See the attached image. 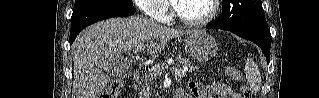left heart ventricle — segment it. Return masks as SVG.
Returning <instances> with one entry per match:
<instances>
[{
    "label": "left heart ventricle",
    "mask_w": 319,
    "mask_h": 98,
    "mask_svg": "<svg viewBox=\"0 0 319 98\" xmlns=\"http://www.w3.org/2000/svg\"><path fill=\"white\" fill-rule=\"evenodd\" d=\"M178 12L187 19H200L211 10L210 0H180L176 1Z\"/></svg>",
    "instance_id": "left-heart-ventricle-1"
}]
</instances>
